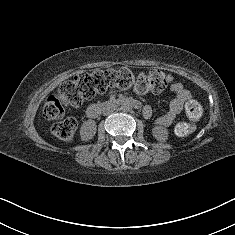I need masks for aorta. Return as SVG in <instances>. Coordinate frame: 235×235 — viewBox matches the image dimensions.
<instances>
[{
	"label": "aorta",
	"instance_id": "1",
	"mask_svg": "<svg viewBox=\"0 0 235 235\" xmlns=\"http://www.w3.org/2000/svg\"><path fill=\"white\" fill-rule=\"evenodd\" d=\"M121 109L125 112L129 111L131 109L130 105L127 103L122 104Z\"/></svg>",
	"mask_w": 235,
	"mask_h": 235
}]
</instances>
